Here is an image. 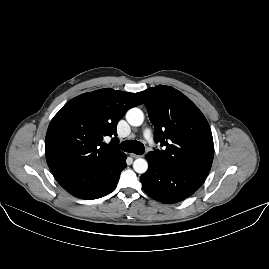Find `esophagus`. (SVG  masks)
Here are the masks:
<instances>
[{"label":"esophagus","instance_id":"1","mask_svg":"<svg viewBox=\"0 0 269 269\" xmlns=\"http://www.w3.org/2000/svg\"><path fill=\"white\" fill-rule=\"evenodd\" d=\"M130 157L131 158H139V157H141V155H137V154L131 153L130 154Z\"/></svg>","mask_w":269,"mask_h":269}]
</instances>
